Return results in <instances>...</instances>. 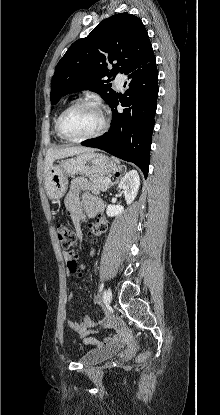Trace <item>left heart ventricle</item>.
<instances>
[{"label":"left heart ventricle","mask_w":220,"mask_h":415,"mask_svg":"<svg viewBox=\"0 0 220 415\" xmlns=\"http://www.w3.org/2000/svg\"><path fill=\"white\" fill-rule=\"evenodd\" d=\"M102 118L93 106H82L68 113L62 122L63 133L70 138H80L95 133Z\"/></svg>","instance_id":"obj_1"}]
</instances>
